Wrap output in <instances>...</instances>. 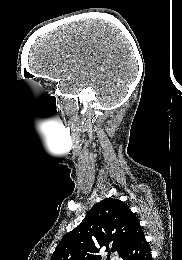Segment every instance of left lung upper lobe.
<instances>
[{
	"label": "left lung upper lobe",
	"instance_id": "1",
	"mask_svg": "<svg viewBox=\"0 0 182 260\" xmlns=\"http://www.w3.org/2000/svg\"><path fill=\"white\" fill-rule=\"evenodd\" d=\"M139 226L126 204L119 199L106 198L94 204L82 223L62 238L51 260H101L98 255L101 248L121 256Z\"/></svg>",
	"mask_w": 182,
	"mask_h": 260
}]
</instances>
